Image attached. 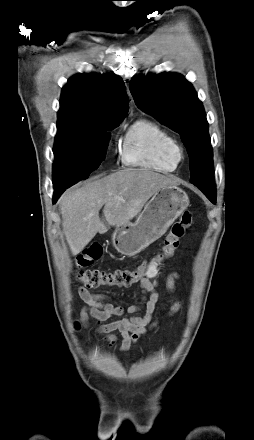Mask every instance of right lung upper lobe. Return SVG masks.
I'll use <instances>...</instances> for the list:
<instances>
[{
    "instance_id": "cb5924a9",
    "label": "right lung upper lobe",
    "mask_w": 254,
    "mask_h": 440,
    "mask_svg": "<svg viewBox=\"0 0 254 440\" xmlns=\"http://www.w3.org/2000/svg\"><path fill=\"white\" fill-rule=\"evenodd\" d=\"M128 102L125 85L118 76L75 75L62 89L58 120L93 124L122 121L128 112Z\"/></svg>"
}]
</instances>
